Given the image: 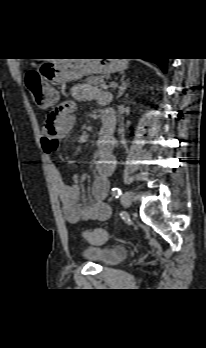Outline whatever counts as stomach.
<instances>
[{"label": "stomach", "mask_w": 206, "mask_h": 348, "mask_svg": "<svg viewBox=\"0 0 206 348\" xmlns=\"http://www.w3.org/2000/svg\"><path fill=\"white\" fill-rule=\"evenodd\" d=\"M126 62L121 59H66L60 62H44L39 68V74L53 86L62 85L68 81L79 80L87 75H110L123 71ZM58 102V96H48L41 92L35 97V103L41 109H46Z\"/></svg>", "instance_id": "0dacf381"}]
</instances>
